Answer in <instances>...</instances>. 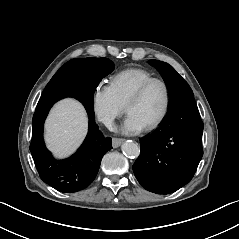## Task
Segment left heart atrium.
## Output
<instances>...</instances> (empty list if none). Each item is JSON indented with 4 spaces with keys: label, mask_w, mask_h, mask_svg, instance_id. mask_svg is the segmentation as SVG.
Wrapping results in <instances>:
<instances>
[{
    "label": "left heart atrium",
    "mask_w": 239,
    "mask_h": 239,
    "mask_svg": "<svg viewBox=\"0 0 239 239\" xmlns=\"http://www.w3.org/2000/svg\"><path fill=\"white\" fill-rule=\"evenodd\" d=\"M144 128V124L135 115L128 113L123 126L125 132L135 134L141 132Z\"/></svg>",
    "instance_id": "1"
}]
</instances>
